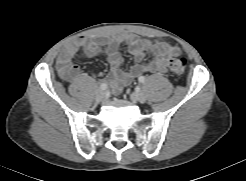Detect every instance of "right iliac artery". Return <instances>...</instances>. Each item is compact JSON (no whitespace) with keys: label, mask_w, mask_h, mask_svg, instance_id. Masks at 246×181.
I'll list each match as a JSON object with an SVG mask.
<instances>
[{"label":"right iliac artery","mask_w":246,"mask_h":181,"mask_svg":"<svg viewBox=\"0 0 246 181\" xmlns=\"http://www.w3.org/2000/svg\"><path fill=\"white\" fill-rule=\"evenodd\" d=\"M100 89H101V90H106V89H107V84L104 83V82L101 83V84H100Z\"/></svg>","instance_id":"1"}]
</instances>
